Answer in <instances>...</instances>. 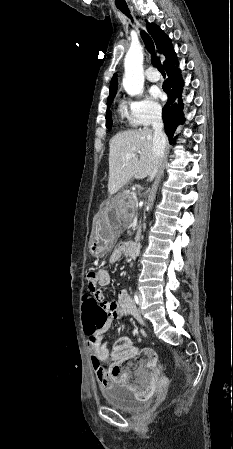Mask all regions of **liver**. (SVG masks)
<instances>
[{"label": "liver", "mask_w": 233, "mask_h": 449, "mask_svg": "<svg viewBox=\"0 0 233 449\" xmlns=\"http://www.w3.org/2000/svg\"><path fill=\"white\" fill-rule=\"evenodd\" d=\"M153 131L149 128L128 130L115 135L109 142L108 192L115 194L135 177L144 179L154 168ZM127 154L132 158L126 160Z\"/></svg>", "instance_id": "liver-1"}]
</instances>
